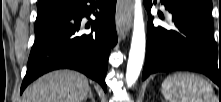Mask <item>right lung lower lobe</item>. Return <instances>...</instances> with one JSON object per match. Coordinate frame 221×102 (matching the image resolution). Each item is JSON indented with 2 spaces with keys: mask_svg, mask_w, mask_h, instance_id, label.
Instances as JSON below:
<instances>
[{
  "mask_svg": "<svg viewBox=\"0 0 221 102\" xmlns=\"http://www.w3.org/2000/svg\"><path fill=\"white\" fill-rule=\"evenodd\" d=\"M116 0H74L67 11L35 30L22 93L39 76L56 69L78 70L97 81L106 91L109 53L117 43ZM94 14L84 33L82 18Z\"/></svg>",
  "mask_w": 221,
  "mask_h": 102,
  "instance_id": "obj_1",
  "label": "right lung lower lobe"
}]
</instances>
